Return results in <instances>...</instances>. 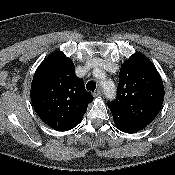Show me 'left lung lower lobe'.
Here are the masks:
<instances>
[{
    "mask_svg": "<svg viewBox=\"0 0 175 175\" xmlns=\"http://www.w3.org/2000/svg\"><path fill=\"white\" fill-rule=\"evenodd\" d=\"M114 123L117 128L125 133H136L146 127L148 124L123 120L113 117Z\"/></svg>",
    "mask_w": 175,
    "mask_h": 175,
    "instance_id": "1",
    "label": "left lung lower lobe"
}]
</instances>
